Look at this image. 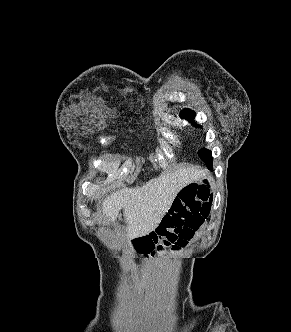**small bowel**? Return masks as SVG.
I'll use <instances>...</instances> for the list:
<instances>
[{
    "label": "small bowel",
    "instance_id": "c3829d8e",
    "mask_svg": "<svg viewBox=\"0 0 291 332\" xmlns=\"http://www.w3.org/2000/svg\"><path fill=\"white\" fill-rule=\"evenodd\" d=\"M198 186L195 183H188L186 184L181 191L183 190H192V189H196Z\"/></svg>",
    "mask_w": 291,
    "mask_h": 332
}]
</instances>
